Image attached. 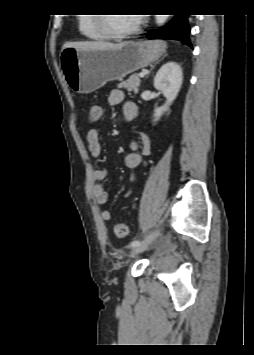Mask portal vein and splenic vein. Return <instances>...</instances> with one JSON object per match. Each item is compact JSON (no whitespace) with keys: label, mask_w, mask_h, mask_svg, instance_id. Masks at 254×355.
Listing matches in <instances>:
<instances>
[{"label":"portal vein and splenic vein","mask_w":254,"mask_h":355,"mask_svg":"<svg viewBox=\"0 0 254 355\" xmlns=\"http://www.w3.org/2000/svg\"><path fill=\"white\" fill-rule=\"evenodd\" d=\"M145 74H146L145 72H141V73L139 74V76H140V77H144Z\"/></svg>","instance_id":"portal-vein-and-splenic-vein-1"}]
</instances>
